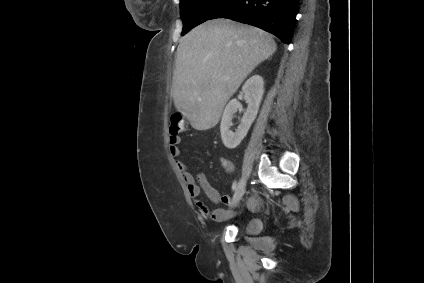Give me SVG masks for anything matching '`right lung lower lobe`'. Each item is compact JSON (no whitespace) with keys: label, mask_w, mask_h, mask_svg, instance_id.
Returning a JSON list of instances; mask_svg holds the SVG:
<instances>
[{"label":"right lung lower lobe","mask_w":424,"mask_h":283,"mask_svg":"<svg viewBox=\"0 0 424 283\" xmlns=\"http://www.w3.org/2000/svg\"><path fill=\"white\" fill-rule=\"evenodd\" d=\"M299 0H228L210 19L227 18L266 30L284 43L292 37Z\"/></svg>","instance_id":"1"}]
</instances>
